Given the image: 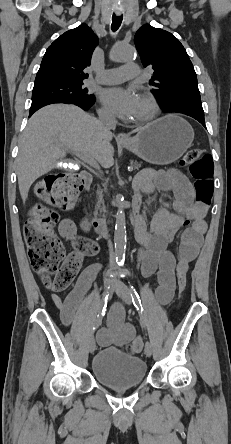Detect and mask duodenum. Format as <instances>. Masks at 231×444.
Listing matches in <instances>:
<instances>
[{"label":"duodenum","mask_w":231,"mask_h":444,"mask_svg":"<svg viewBox=\"0 0 231 444\" xmlns=\"http://www.w3.org/2000/svg\"><path fill=\"white\" fill-rule=\"evenodd\" d=\"M81 180L84 185H90L92 181L91 174L87 171H83L81 174ZM130 220L134 224L135 228L142 221V216L138 212L137 206H133L130 213ZM88 225L92 228L93 232L103 237H109L111 234V222L108 219L88 218Z\"/></svg>","instance_id":"obj_1"}]
</instances>
